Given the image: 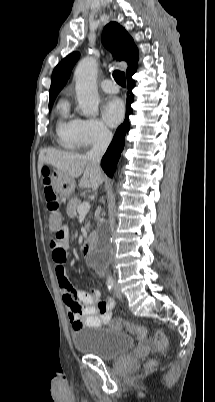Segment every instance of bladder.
<instances>
[{
    "label": "bladder",
    "instance_id": "bladder-1",
    "mask_svg": "<svg viewBox=\"0 0 215 402\" xmlns=\"http://www.w3.org/2000/svg\"><path fill=\"white\" fill-rule=\"evenodd\" d=\"M71 338L78 352L104 361L116 359L134 346L131 336L114 328L79 329L72 333Z\"/></svg>",
    "mask_w": 215,
    "mask_h": 402
}]
</instances>
